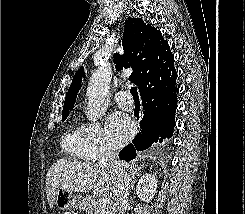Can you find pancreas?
<instances>
[{
  "mask_svg": "<svg viewBox=\"0 0 245 214\" xmlns=\"http://www.w3.org/2000/svg\"><path fill=\"white\" fill-rule=\"evenodd\" d=\"M90 214H112L111 205L107 207H102L100 205V199L91 202Z\"/></svg>",
  "mask_w": 245,
  "mask_h": 214,
  "instance_id": "cf45deb5",
  "label": "pancreas"
}]
</instances>
